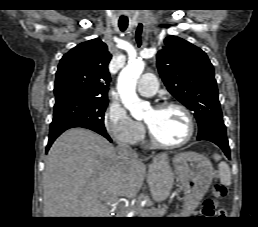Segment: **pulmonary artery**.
Masks as SVG:
<instances>
[{
    "mask_svg": "<svg viewBox=\"0 0 258 227\" xmlns=\"http://www.w3.org/2000/svg\"><path fill=\"white\" fill-rule=\"evenodd\" d=\"M157 79L153 74H144L137 85V90L142 96L151 97L157 91Z\"/></svg>",
    "mask_w": 258,
    "mask_h": 227,
    "instance_id": "obj_1",
    "label": "pulmonary artery"
}]
</instances>
